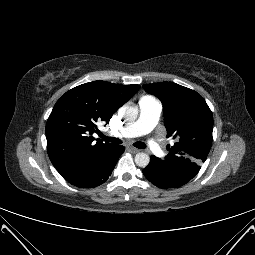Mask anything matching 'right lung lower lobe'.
<instances>
[{
    "label": "right lung lower lobe",
    "instance_id": "1",
    "mask_svg": "<svg viewBox=\"0 0 255 255\" xmlns=\"http://www.w3.org/2000/svg\"><path fill=\"white\" fill-rule=\"evenodd\" d=\"M123 152L124 146L115 145L111 151L100 160L64 178L72 185L80 188L97 187L104 183L111 175L112 170Z\"/></svg>",
    "mask_w": 255,
    "mask_h": 255
}]
</instances>
